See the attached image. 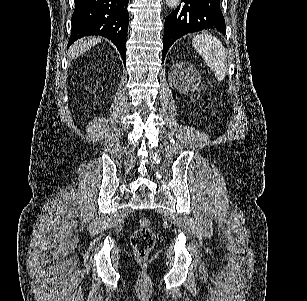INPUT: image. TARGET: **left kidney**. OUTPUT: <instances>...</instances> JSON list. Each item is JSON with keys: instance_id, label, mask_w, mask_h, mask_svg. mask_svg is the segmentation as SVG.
<instances>
[{"instance_id": "obj_1", "label": "left kidney", "mask_w": 307, "mask_h": 301, "mask_svg": "<svg viewBox=\"0 0 307 301\" xmlns=\"http://www.w3.org/2000/svg\"><path fill=\"white\" fill-rule=\"evenodd\" d=\"M174 86L178 90H197L200 84V76L193 64L181 62L173 64Z\"/></svg>"}]
</instances>
